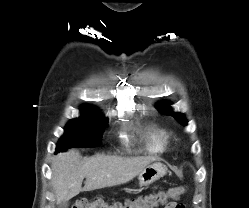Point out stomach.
Segmentation results:
<instances>
[{"mask_svg": "<svg viewBox=\"0 0 249 208\" xmlns=\"http://www.w3.org/2000/svg\"><path fill=\"white\" fill-rule=\"evenodd\" d=\"M167 168L160 162H155L150 165H147L139 174L138 182L139 185L149 186L153 182L159 180L161 177L166 175Z\"/></svg>", "mask_w": 249, "mask_h": 208, "instance_id": "1", "label": "stomach"}]
</instances>
